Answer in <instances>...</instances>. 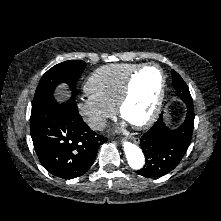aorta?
I'll list each match as a JSON object with an SVG mask.
<instances>
[{
	"label": "aorta",
	"instance_id": "obj_1",
	"mask_svg": "<svg viewBox=\"0 0 221 221\" xmlns=\"http://www.w3.org/2000/svg\"><path fill=\"white\" fill-rule=\"evenodd\" d=\"M123 148L129 166L135 170L141 169L145 163V158L141 149L135 144L128 141L123 142Z\"/></svg>",
	"mask_w": 221,
	"mask_h": 221
}]
</instances>
